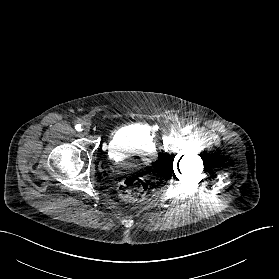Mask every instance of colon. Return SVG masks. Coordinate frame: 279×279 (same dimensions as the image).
I'll list each match as a JSON object with an SVG mask.
<instances>
[{
  "mask_svg": "<svg viewBox=\"0 0 279 279\" xmlns=\"http://www.w3.org/2000/svg\"><path fill=\"white\" fill-rule=\"evenodd\" d=\"M147 192L146 182L138 176L123 179L118 185V194L126 202L141 200Z\"/></svg>",
  "mask_w": 279,
  "mask_h": 279,
  "instance_id": "5ec220e1",
  "label": "colon"
}]
</instances>
